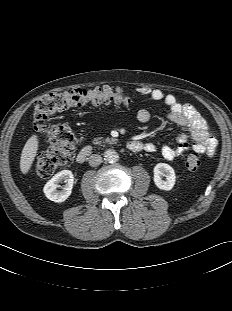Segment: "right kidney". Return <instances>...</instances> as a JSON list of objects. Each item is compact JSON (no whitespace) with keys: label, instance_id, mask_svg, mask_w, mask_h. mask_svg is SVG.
Segmentation results:
<instances>
[{"label":"right kidney","instance_id":"right-kidney-1","mask_svg":"<svg viewBox=\"0 0 232 311\" xmlns=\"http://www.w3.org/2000/svg\"><path fill=\"white\" fill-rule=\"evenodd\" d=\"M60 182H65L66 184L61 191H58ZM74 183V176L70 170H62L55 174L44 186L43 191L45 196L54 202H64L72 192V187Z\"/></svg>","mask_w":232,"mask_h":311}]
</instances>
